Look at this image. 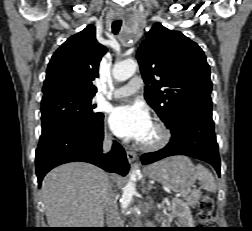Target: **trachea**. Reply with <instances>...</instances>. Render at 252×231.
Returning <instances> with one entry per match:
<instances>
[{"label":"trachea","mask_w":252,"mask_h":231,"mask_svg":"<svg viewBox=\"0 0 252 231\" xmlns=\"http://www.w3.org/2000/svg\"><path fill=\"white\" fill-rule=\"evenodd\" d=\"M122 25V21L121 20H116L112 23V32L116 35L118 34V32L120 31Z\"/></svg>","instance_id":"1"}]
</instances>
